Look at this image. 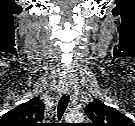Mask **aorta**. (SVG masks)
Segmentation results:
<instances>
[{
    "label": "aorta",
    "instance_id": "762f6f07",
    "mask_svg": "<svg viewBox=\"0 0 135 126\" xmlns=\"http://www.w3.org/2000/svg\"><path fill=\"white\" fill-rule=\"evenodd\" d=\"M69 121H83V115L72 114V115L69 116Z\"/></svg>",
    "mask_w": 135,
    "mask_h": 126
}]
</instances>
